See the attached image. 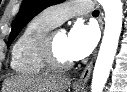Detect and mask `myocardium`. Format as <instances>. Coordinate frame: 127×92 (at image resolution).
Instances as JSON below:
<instances>
[{"mask_svg": "<svg viewBox=\"0 0 127 92\" xmlns=\"http://www.w3.org/2000/svg\"><path fill=\"white\" fill-rule=\"evenodd\" d=\"M58 30L48 31L40 43V57L51 70L63 71L73 66L72 60L61 59L55 49L54 38Z\"/></svg>", "mask_w": 127, "mask_h": 92, "instance_id": "1", "label": "myocardium"}]
</instances>
